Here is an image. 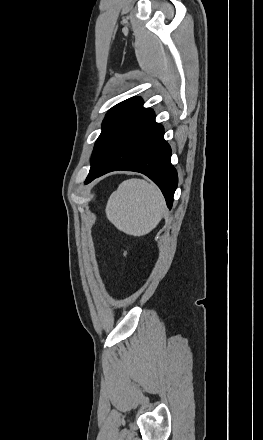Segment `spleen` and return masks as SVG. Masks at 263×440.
<instances>
[{"instance_id":"3e777b00","label":"spleen","mask_w":263,"mask_h":440,"mask_svg":"<svg viewBox=\"0 0 263 440\" xmlns=\"http://www.w3.org/2000/svg\"><path fill=\"white\" fill-rule=\"evenodd\" d=\"M166 211L160 189L143 179L123 181L106 205L107 219L120 231L133 236L151 232Z\"/></svg>"}]
</instances>
